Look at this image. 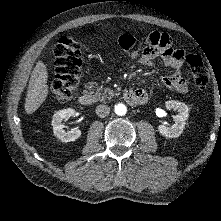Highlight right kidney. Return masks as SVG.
<instances>
[{
  "label": "right kidney",
  "instance_id": "1",
  "mask_svg": "<svg viewBox=\"0 0 221 221\" xmlns=\"http://www.w3.org/2000/svg\"><path fill=\"white\" fill-rule=\"evenodd\" d=\"M74 115H75V111L71 108L59 110L53 115V119H52L53 132H54V135L57 138H59L62 142L75 141L81 136V131L77 128H74L70 131L63 130L64 125L62 121L65 118H69Z\"/></svg>",
  "mask_w": 221,
  "mask_h": 221
}]
</instances>
